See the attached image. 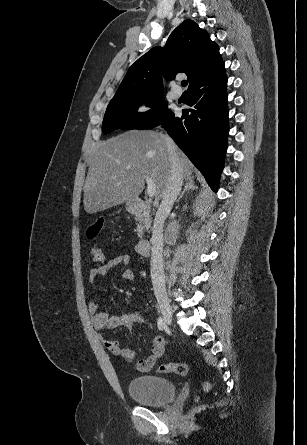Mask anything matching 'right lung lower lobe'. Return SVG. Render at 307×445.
<instances>
[{"label": "right lung lower lobe", "instance_id": "1", "mask_svg": "<svg viewBox=\"0 0 307 445\" xmlns=\"http://www.w3.org/2000/svg\"><path fill=\"white\" fill-rule=\"evenodd\" d=\"M227 77L224 62L188 88L193 109L169 115L158 125L174 139L216 192L227 148ZM157 125V126H158Z\"/></svg>", "mask_w": 307, "mask_h": 445}]
</instances>
